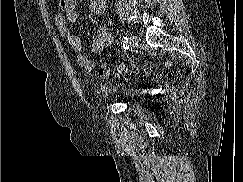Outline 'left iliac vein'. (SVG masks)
I'll list each match as a JSON object with an SVG mask.
<instances>
[{"label": "left iliac vein", "instance_id": "obj_1", "mask_svg": "<svg viewBox=\"0 0 243 182\" xmlns=\"http://www.w3.org/2000/svg\"><path fill=\"white\" fill-rule=\"evenodd\" d=\"M130 45L132 47H138L139 46V38L136 35L130 36Z\"/></svg>", "mask_w": 243, "mask_h": 182}]
</instances>
